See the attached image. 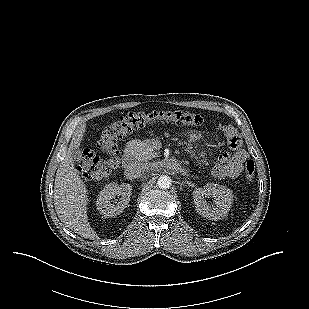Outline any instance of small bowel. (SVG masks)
Segmentation results:
<instances>
[{
    "instance_id": "obj_1",
    "label": "small bowel",
    "mask_w": 309,
    "mask_h": 309,
    "mask_svg": "<svg viewBox=\"0 0 309 309\" xmlns=\"http://www.w3.org/2000/svg\"><path fill=\"white\" fill-rule=\"evenodd\" d=\"M221 131L227 139L233 153L224 152L219 156L218 162L212 169V174L217 178H236L242 170L244 163L247 161L248 153L240 148L241 141L236 130L231 126H219ZM201 137L199 132H193L190 136L191 141H197ZM237 138L238 143L235 144L233 139Z\"/></svg>"
}]
</instances>
